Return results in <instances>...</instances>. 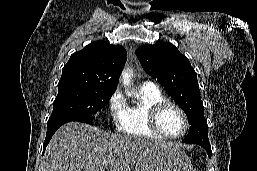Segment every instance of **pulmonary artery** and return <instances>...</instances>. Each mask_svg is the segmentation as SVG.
I'll use <instances>...</instances> for the list:
<instances>
[{"label": "pulmonary artery", "mask_w": 257, "mask_h": 171, "mask_svg": "<svg viewBox=\"0 0 257 171\" xmlns=\"http://www.w3.org/2000/svg\"><path fill=\"white\" fill-rule=\"evenodd\" d=\"M144 84H147V85H154V83L151 82V81H145Z\"/></svg>", "instance_id": "pulmonary-artery-1"}]
</instances>
